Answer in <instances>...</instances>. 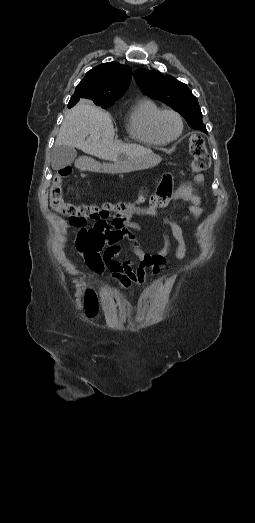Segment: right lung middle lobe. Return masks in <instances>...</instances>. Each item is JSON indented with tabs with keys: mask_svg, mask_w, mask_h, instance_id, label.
Here are the masks:
<instances>
[{
	"mask_svg": "<svg viewBox=\"0 0 255 523\" xmlns=\"http://www.w3.org/2000/svg\"><path fill=\"white\" fill-rule=\"evenodd\" d=\"M114 102H104V103H96L97 106L102 107L103 109L110 107L113 105Z\"/></svg>",
	"mask_w": 255,
	"mask_h": 523,
	"instance_id": "obj_1",
	"label": "right lung middle lobe"
}]
</instances>
